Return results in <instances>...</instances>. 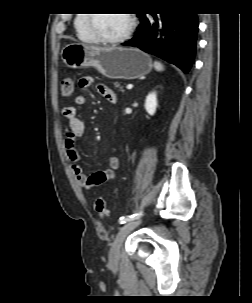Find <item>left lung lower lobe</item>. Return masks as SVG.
<instances>
[{"instance_id": "obj_1", "label": "left lung lower lobe", "mask_w": 252, "mask_h": 303, "mask_svg": "<svg viewBox=\"0 0 252 303\" xmlns=\"http://www.w3.org/2000/svg\"><path fill=\"white\" fill-rule=\"evenodd\" d=\"M139 14L135 36L124 46L137 47L156 55L188 73L195 57L198 19L194 13Z\"/></svg>"}]
</instances>
